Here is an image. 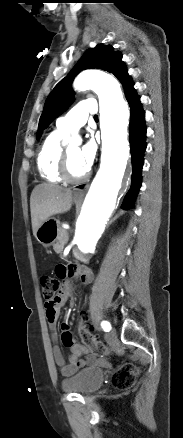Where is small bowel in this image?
<instances>
[{"mask_svg":"<svg viewBox=\"0 0 183 438\" xmlns=\"http://www.w3.org/2000/svg\"><path fill=\"white\" fill-rule=\"evenodd\" d=\"M55 273L57 277L61 279H67L72 277H79L82 283H88L92 279L91 272L83 266L78 265H57L55 268ZM72 297V289L69 284L65 283L60 290L59 294L52 300L45 302V315L49 327L55 331L60 309L66 303L68 299ZM62 335L61 340L64 346L69 347L72 354L69 357L68 363L66 364L58 345L53 347V357L58 365L60 372L64 376L73 375L80 368L85 367L91 363L95 362V357L89 354L88 348L79 344L75 336L70 332L69 326L67 324L62 325ZM53 340H57L56 334H53ZM82 355H86L85 358H81Z\"/></svg>","mask_w":183,"mask_h":438,"instance_id":"small-bowel-1","label":"small bowel"}]
</instances>
